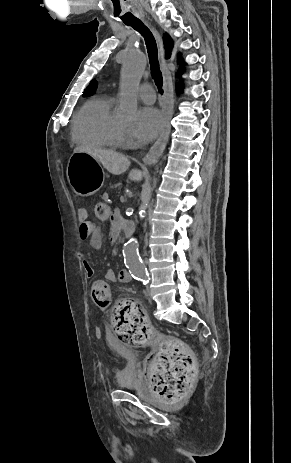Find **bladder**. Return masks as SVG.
<instances>
[{
	"mask_svg": "<svg viewBox=\"0 0 291 463\" xmlns=\"http://www.w3.org/2000/svg\"><path fill=\"white\" fill-rule=\"evenodd\" d=\"M123 359L125 365L117 374V383L120 388L133 389L139 385V378L136 371V357L135 352L131 348L124 346V350L117 352Z\"/></svg>",
	"mask_w": 291,
	"mask_h": 463,
	"instance_id": "31cf9c89",
	"label": "bladder"
}]
</instances>
